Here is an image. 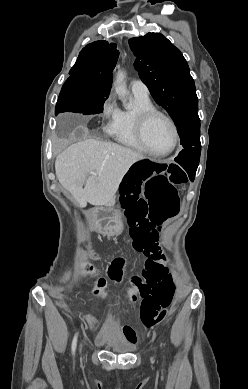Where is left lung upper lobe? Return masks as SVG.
I'll use <instances>...</instances> for the list:
<instances>
[{
  "label": "left lung upper lobe",
  "mask_w": 248,
  "mask_h": 389,
  "mask_svg": "<svg viewBox=\"0 0 248 389\" xmlns=\"http://www.w3.org/2000/svg\"><path fill=\"white\" fill-rule=\"evenodd\" d=\"M129 45L141 80L178 126L188 112L198 109L194 80L182 53L160 33L132 38ZM180 138L183 147L197 141L186 135Z\"/></svg>",
  "instance_id": "left-lung-upper-lobe-1"
}]
</instances>
